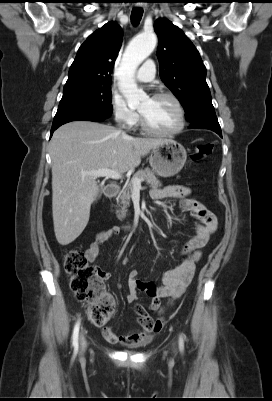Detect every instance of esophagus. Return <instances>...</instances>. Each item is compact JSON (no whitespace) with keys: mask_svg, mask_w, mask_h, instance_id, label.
Listing matches in <instances>:
<instances>
[{"mask_svg":"<svg viewBox=\"0 0 272 401\" xmlns=\"http://www.w3.org/2000/svg\"><path fill=\"white\" fill-rule=\"evenodd\" d=\"M138 5H139V6H142V4H141V3H139Z\"/></svg>","mask_w":272,"mask_h":401,"instance_id":"obj_1","label":"esophagus"}]
</instances>
